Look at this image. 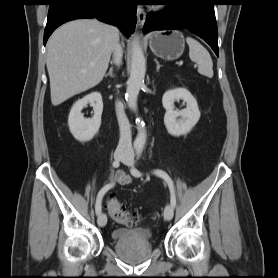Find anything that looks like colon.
<instances>
[{
  "label": "colon",
  "instance_id": "obj_1",
  "mask_svg": "<svg viewBox=\"0 0 278 278\" xmlns=\"http://www.w3.org/2000/svg\"><path fill=\"white\" fill-rule=\"evenodd\" d=\"M107 208L114 220L126 226H133L141 219L137 212L127 209L114 197L107 200Z\"/></svg>",
  "mask_w": 278,
  "mask_h": 278
}]
</instances>
